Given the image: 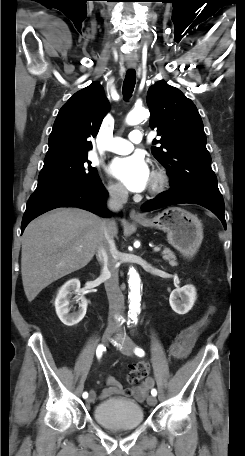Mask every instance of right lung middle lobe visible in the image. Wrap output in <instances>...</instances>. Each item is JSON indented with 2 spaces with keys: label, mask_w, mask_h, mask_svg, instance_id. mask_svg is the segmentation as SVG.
<instances>
[{
  "label": "right lung middle lobe",
  "mask_w": 245,
  "mask_h": 456,
  "mask_svg": "<svg viewBox=\"0 0 245 456\" xmlns=\"http://www.w3.org/2000/svg\"><path fill=\"white\" fill-rule=\"evenodd\" d=\"M100 181L96 168L91 167L87 155L43 166L34 193L89 186Z\"/></svg>",
  "instance_id": "right-lung-middle-lobe-1"
}]
</instances>
